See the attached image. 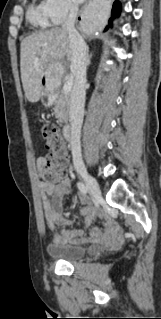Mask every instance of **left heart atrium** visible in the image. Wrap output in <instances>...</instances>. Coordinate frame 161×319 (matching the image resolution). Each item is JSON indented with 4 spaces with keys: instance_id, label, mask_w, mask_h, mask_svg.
Returning <instances> with one entry per match:
<instances>
[{
    "instance_id": "1",
    "label": "left heart atrium",
    "mask_w": 161,
    "mask_h": 319,
    "mask_svg": "<svg viewBox=\"0 0 161 319\" xmlns=\"http://www.w3.org/2000/svg\"><path fill=\"white\" fill-rule=\"evenodd\" d=\"M75 3H81L83 2L84 0H73Z\"/></svg>"
}]
</instances>
